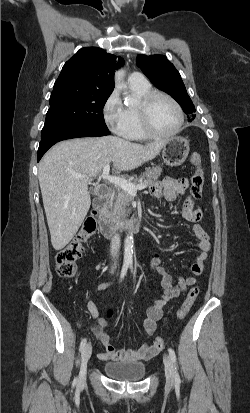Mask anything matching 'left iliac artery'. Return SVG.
Listing matches in <instances>:
<instances>
[{
  "label": "left iliac artery",
  "instance_id": "1",
  "mask_svg": "<svg viewBox=\"0 0 250 413\" xmlns=\"http://www.w3.org/2000/svg\"><path fill=\"white\" fill-rule=\"evenodd\" d=\"M131 267H132V266H131ZM168 351H169V355H170L171 360H172V362H173V364H174V366H175V369H176V354H175V352H174V350H173L172 348H169ZM175 381H176L177 383L180 382V377H179V374H178V372H177V369H176V371H175Z\"/></svg>",
  "mask_w": 250,
  "mask_h": 413
}]
</instances>
